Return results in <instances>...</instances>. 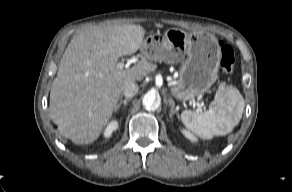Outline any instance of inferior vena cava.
<instances>
[{"instance_id":"inferior-vena-cava-1","label":"inferior vena cava","mask_w":292,"mask_h":192,"mask_svg":"<svg viewBox=\"0 0 292 192\" xmlns=\"http://www.w3.org/2000/svg\"><path fill=\"white\" fill-rule=\"evenodd\" d=\"M139 86L135 83H126L124 85V92L123 94L125 95L126 98H131L135 96L138 93Z\"/></svg>"}]
</instances>
